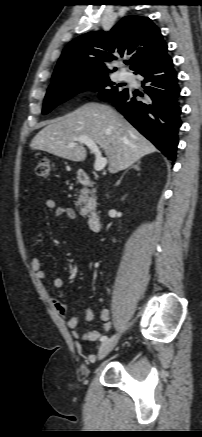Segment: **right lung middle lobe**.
I'll list each match as a JSON object with an SVG mask.
<instances>
[{
    "instance_id": "dd1d6c3e",
    "label": "right lung middle lobe",
    "mask_w": 202,
    "mask_h": 437,
    "mask_svg": "<svg viewBox=\"0 0 202 437\" xmlns=\"http://www.w3.org/2000/svg\"><path fill=\"white\" fill-rule=\"evenodd\" d=\"M117 86L120 85L112 82L107 74L75 77L52 83L46 93L42 113H49L59 104L86 90L99 92L100 99L107 101L123 91Z\"/></svg>"
}]
</instances>
